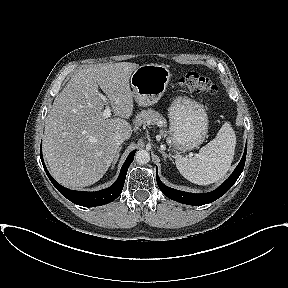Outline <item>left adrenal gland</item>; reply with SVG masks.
I'll return each mask as SVG.
<instances>
[{"instance_id": "1", "label": "left adrenal gland", "mask_w": 288, "mask_h": 288, "mask_svg": "<svg viewBox=\"0 0 288 288\" xmlns=\"http://www.w3.org/2000/svg\"><path fill=\"white\" fill-rule=\"evenodd\" d=\"M160 153L162 154L164 160H166L168 158L173 162L172 157L170 155L166 154L163 149H160Z\"/></svg>"}]
</instances>
